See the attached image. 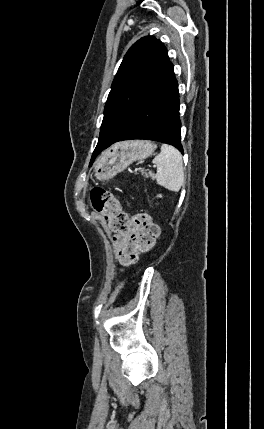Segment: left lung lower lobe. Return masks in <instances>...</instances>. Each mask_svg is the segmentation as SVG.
<instances>
[{
    "label": "left lung lower lobe",
    "mask_w": 264,
    "mask_h": 429,
    "mask_svg": "<svg viewBox=\"0 0 264 429\" xmlns=\"http://www.w3.org/2000/svg\"><path fill=\"white\" fill-rule=\"evenodd\" d=\"M180 132L178 84L173 65L169 61L165 72L140 102L127 128L116 142L129 139L154 140L173 145L183 153ZM102 150L94 151L91 161Z\"/></svg>",
    "instance_id": "1"
}]
</instances>
